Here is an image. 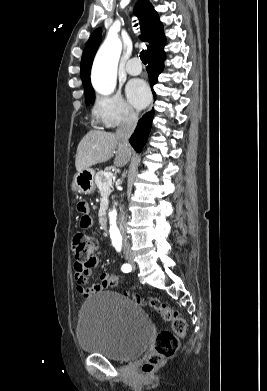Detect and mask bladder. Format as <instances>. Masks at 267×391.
<instances>
[{
    "label": "bladder",
    "instance_id": "1",
    "mask_svg": "<svg viewBox=\"0 0 267 391\" xmlns=\"http://www.w3.org/2000/svg\"><path fill=\"white\" fill-rule=\"evenodd\" d=\"M76 333L85 352L125 361L147 348L153 324L135 302L118 292L105 291L81 306Z\"/></svg>",
    "mask_w": 267,
    "mask_h": 391
}]
</instances>
